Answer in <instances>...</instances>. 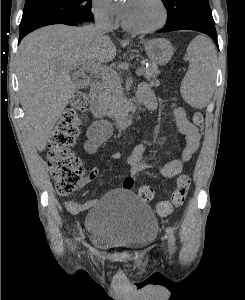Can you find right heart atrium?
I'll return each mask as SVG.
<instances>
[{
    "instance_id": "obj_1",
    "label": "right heart atrium",
    "mask_w": 245,
    "mask_h": 300,
    "mask_svg": "<svg viewBox=\"0 0 245 300\" xmlns=\"http://www.w3.org/2000/svg\"><path fill=\"white\" fill-rule=\"evenodd\" d=\"M92 11L100 23L113 25L116 21V11L110 0H92Z\"/></svg>"
}]
</instances>
